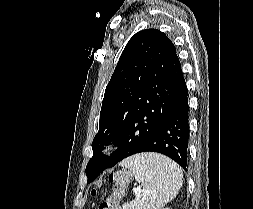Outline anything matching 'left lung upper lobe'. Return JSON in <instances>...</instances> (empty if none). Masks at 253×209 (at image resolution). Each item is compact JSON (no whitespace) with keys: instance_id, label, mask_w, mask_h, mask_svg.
<instances>
[{"instance_id":"1","label":"left lung upper lobe","mask_w":253,"mask_h":209,"mask_svg":"<svg viewBox=\"0 0 253 209\" xmlns=\"http://www.w3.org/2000/svg\"><path fill=\"white\" fill-rule=\"evenodd\" d=\"M182 76L175 46L163 32L147 29L132 36L105 90L88 182L141 148L169 111ZM112 141L118 149L103 155Z\"/></svg>"}]
</instances>
